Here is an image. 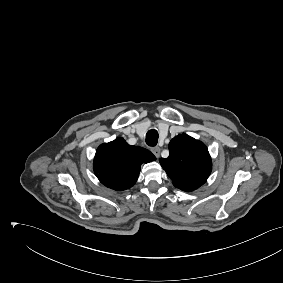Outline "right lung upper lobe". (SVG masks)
<instances>
[{"label": "right lung upper lobe", "mask_w": 283, "mask_h": 283, "mask_svg": "<svg viewBox=\"0 0 283 283\" xmlns=\"http://www.w3.org/2000/svg\"><path fill=\"white\" fill-rule=\"evenodd\" d=\"M154 160L156 157L149 150L131 146L123 138H116L98 147L93 169L102 184L122 191L136 183L142 163Z\"/></svg>", "instance_id": "right-lung-upper-lobe-1"}]
</instances>
